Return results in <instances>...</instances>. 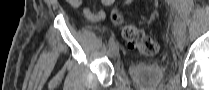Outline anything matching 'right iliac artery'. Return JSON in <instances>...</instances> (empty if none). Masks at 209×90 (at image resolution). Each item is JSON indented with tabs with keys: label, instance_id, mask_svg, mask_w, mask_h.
Returning a JSON list of instances; mask_svg holds the SVG:
<instances>
[{
	"label": "right iliac artery",
	"instance_id": "right-iliac-artery-1",
	"mask_svg": "<svg viewBox=\"0 0 209 90\" xmlns=\"http://www.w3.org/2000/svg\"><path fill=\"white\" fill-rule=\"evenodd\" d=\"M114 43H115V38H114V35H112L109 39V48H111L112 45H114Z\"/></svg>",
	"mask_w": 209,
	"mask_h": 90
}]
</instances>
